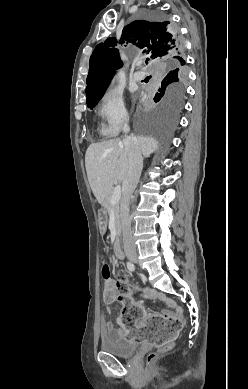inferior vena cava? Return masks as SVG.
<instances>
[{
  "label": "inferior vena cava",
  "mask_w": 248,
  "mask_h": 389,
  "mask_svg": "<svg viewBox=\"0 0 248 389\" xmlns=\"http://www.w3.org/2000/svg\"><path fill=\"white\" fill-rule=\"evenodd\" d=\"M130 128L127 124L123 127V143L128 154L129 167L127 175L123 181V194L120 202V220L123 233V244L125 252H135V244L131 231V218L129 215L130 198L137 187L140 179L143 158L138 141L135 137L128 136Z\"/></svg>",
  "instance_id": "602c4592"
}]
</instances>
